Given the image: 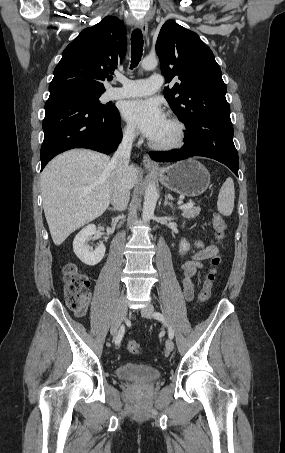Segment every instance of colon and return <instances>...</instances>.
<instances>
[{
  "mask_svg": "<svg viewBox=\"0 0 285 453\" xmlns=\"http://www.w3.org/2000/svg\"><path fill=\"white\" fill-rule=\"evenodd\" d=\"M212 224L217 239L220 242L223 241L227 230L226 222L219 214H214ZM220 262L221 258L217 255L211 260V267L204 277L201 290L198 294V300L202 303L208 301L211 296ZM62 276L64 297L68 307L76 314L84 315L90 300L87 275L77 265L68 263L62 269ZM126 348L132 354H138L140 352V346L134 339L127 340Z\"/></svg>",
  "mask_w": 285,
  "mask_h": 453,
  "instance_id": "colon-1",
  "label": "colon"
}]
</instances>
